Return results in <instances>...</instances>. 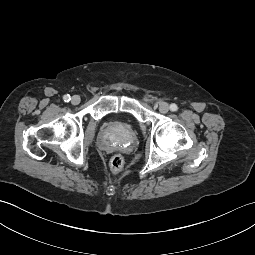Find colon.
<instances>
[{
	"label": "colon",
	"instance_id": "obj_1",
	"mask_svg": "<svg viewBox=\"0 0 255 255\" xmlns=\"http://www.w3.org/2000/svg\"><path fill=\"white\" fill-rule=\"evenodd\" d=\"M125 160L123 156L114 154L109 160V168L111 172L117 174L120 173L124 168Z\"/></svg>",
	"mask_w": 255,
	"mask_h": 255
}]
</instances>
